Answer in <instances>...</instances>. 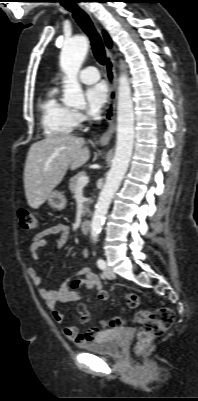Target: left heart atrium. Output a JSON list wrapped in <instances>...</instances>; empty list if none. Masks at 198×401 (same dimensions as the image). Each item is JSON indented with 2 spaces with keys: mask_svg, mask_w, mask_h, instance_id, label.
<instances>
[{
  "mask_svg": "<svg viewBox=\"0 0 198 401\" xmlns=\"http://www.w3.org/2000/svg\"><path fill=\"white\" fill-rule=\"evenodd\" d=\"M87 112L91 116L99 114L107 102L108 88L104 82H99L87 88L86 93Z\"/></svg>",
  "mask_w": 198,
  "mask_h": 401,
  "instance_id": "obj_1",
  "label": "left heart atrium"
}]
</instances>
